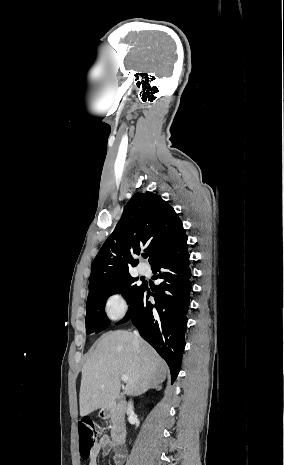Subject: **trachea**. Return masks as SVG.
Masks as SVG:
<instances>
[{
	"label": "trachea",
	"mask_w": 284,
	"mask_h": 465,
	"mask_svg": "<svg viewBox=\"0 0 284 465\" xmlns=\"http://www.w3.org/2000/svg\"><path fill=\"white\" fill-rule=\"evenodd\" d=\"M147 257H148V255H144V256H143V258H147Z\"/></svg>",
	"instance_id": "1"
}]
</instances>
